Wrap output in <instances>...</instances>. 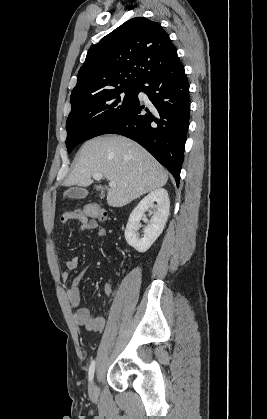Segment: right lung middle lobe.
Listing matches in <instances>:
<instances>
[{"label":"right lung middle lobe","mask_w":267,"mask_h":419,"mask_svg":"<svg viewBox=\"0 0 267 419\" xmlns=\"http://www.w3.org/2000/svg\"><path fill=\"white\" fill-rule=\"evenodd\" d=\"M137 95L138 87H127L97 93L71 104L66 123L68 153L79 143L104 134L126 115Z\"/></svg>","instance_id":"right-lung-middle-lobe-1"}]
</instances>
